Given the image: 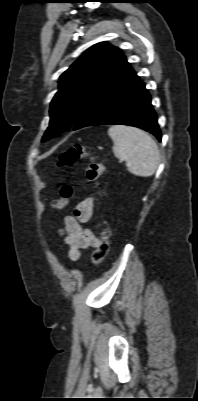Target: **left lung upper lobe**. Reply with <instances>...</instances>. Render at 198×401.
<instances>
[{"instance_id": "obj_1", "label": "left lung upper lobe", "mask_w": 198, "mask_h": 401, "mask_svg": "<svg viewBox=\"0 0 198 401\" xmlns=\"http://www.w3.org/2000/svg\"><path fill=\"white\" fill-rule=\"evenodd\" d=\"M126 63L117 47L101 42L86 50L61 76L42 142L73 127L90 102Z\"/></svg>"}]
</instances>
